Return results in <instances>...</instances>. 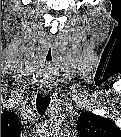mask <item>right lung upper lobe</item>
Returning a JSON list of instances; mask_svg holds the SVG:
<instances>
[{
	"label": "right lung upper lobe",
	"mask_w": 121,
	"mask_h": 137,
	"mask_svg": "<svg viewBox=\"0 0 121 137\" xmlns=\"http://www.w3.org/2000/svg\"><path fill=\"white\" fill-rule=\"evenodd\" d=\"M20 130L21 127L14 113L4 112L1 114V135H16Z\"/></svg>",
	"instance_id": "cb5924a9"
}]
</instances>
